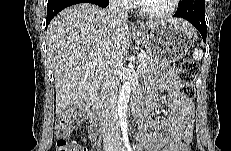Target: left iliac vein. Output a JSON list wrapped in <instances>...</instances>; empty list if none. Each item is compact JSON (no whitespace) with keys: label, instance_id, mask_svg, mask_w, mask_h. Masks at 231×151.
<instances>
[{"label":"left iliac vein","instance_id":"1","mask_svg":"<svg viewBox=\"0 0 231 151\" xmlns=\"http://www.w3.org/2000/svg\"><path fill=\"white\" fill-rule=\"evenodd\" d=\"M119 151H124L123 149H120Z\"/></svg>","mask_w":231,"mask_h":151}]
</instances>
